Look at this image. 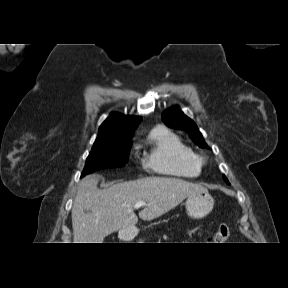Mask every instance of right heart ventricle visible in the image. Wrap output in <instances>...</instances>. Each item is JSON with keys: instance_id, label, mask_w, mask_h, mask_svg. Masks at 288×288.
<instances>
[{"instance_id": "1", "label": "right heart ventricle", "mask_w": 288, "mask_h": 288, "mask_svg": "<svg viewBox=\"0 0 288 288\" xmlns=\"http://www.w3.org/2000/svg\"><path fill=\"white\" fill-rule=\"evenodd\" d=\"M149 152L145 165L150 170L173 177L196 178L202 173L197 153L178 135L158 126L147 137Z\"/></svg>"}]
</instances>
